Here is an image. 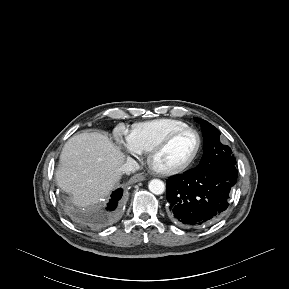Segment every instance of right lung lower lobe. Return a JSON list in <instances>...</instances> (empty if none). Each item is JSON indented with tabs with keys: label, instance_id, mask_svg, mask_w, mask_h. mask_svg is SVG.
Listing matches in <instances>:
<instances>
[{
	"label": "right lung lower lobe",
	"instance_id": "1",
	"mask_svg": "<svg viewBox=\"0 0 289 289\" xmlns=\"http://www.w3.org/2000/svg\"><path fill=\"white\" fill-rule=\"evenodd\" d=\"M122 192L123 190L120 188L112 193L111 199L109 203L107 204L106 210L100 211L96 215V220L98 222L103 223V224H109L115 219L116 214H117L116 208H117L119 200L122 197Z\"/></svg>",
	"mask_w": 289,
	"mask_h": 289
}]
</instances>
